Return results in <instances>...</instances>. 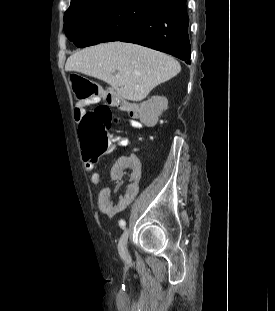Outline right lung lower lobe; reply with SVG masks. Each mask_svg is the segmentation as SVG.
I'll list each match as a JSON object with an SVG mask.
<instances>
[{
    "label": "right lung lower lobe",
    "mask_w": 275,
    "mask_h": 311,
    "mask_svg": "<svg viewBox=\"0 0 275 311\" xmlns=\"http://www.w3.org/2000/svg\"><path fill=\"white\" fill-rule=\"evenodd\" d=\"M186 0L161 2L132 23L115 41L140 44L166 52L190 64L189 18Z\"/></svg>",
    "instance_id": "obj_1"
}]
</instances>
